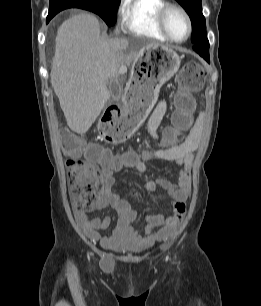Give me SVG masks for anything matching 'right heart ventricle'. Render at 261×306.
Wrapping results in <instances>:
<instances>
[{
	"mask_svg": "<svg viewBox=\"0 0 261 306\" xmlns=\"http://www.w3.org/2000/svg\"><path fill=\"white\" fill-rule=\"evenodd\" d=\"M166 4V0H124L121 7L123 30L148 39L168 41L157 23L158 13Z\"/></svg>",
	"mask_w": 261,
	"mask_h": 306,
	"instance_id": "e07e8e85",
	"label": "right heart ventricle"
}]
</instances>
